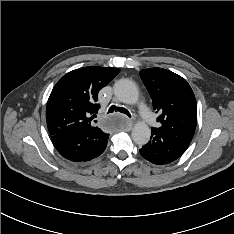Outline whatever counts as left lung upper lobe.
I'll list each match as a JSON object with an SVG mask.
<instances>
[{"mask_svg": "<svg viewBox=\"0 0 234 234\" xmlns=\"http://www.w3.org/2000/svg\"><path fill=\"white\" fill-rule=\"evenodd\" d=\"M140 77L152 98L154 110L161 113L157 118L161 127L152 130L186 150L197 124V103L190 85L181 76L162 68L141 70Z\"/></svg>", "mask_w": 234, "mask_h": 234, "instance_id": "left-lung-upper-lobe-1", "label": "left lung upper lobe"}]
</instances>
